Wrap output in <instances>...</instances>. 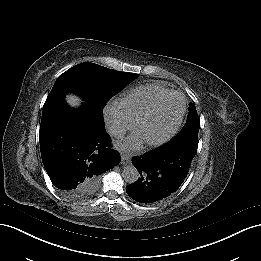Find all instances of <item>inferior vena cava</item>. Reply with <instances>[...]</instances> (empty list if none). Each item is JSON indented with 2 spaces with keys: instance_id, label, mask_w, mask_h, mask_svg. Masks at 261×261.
<instances>
[{
  "instance_id": "inferior-vena-cava-1",
  "label": "inferior vena cava",
  "mask_w": 261,
  "mask_h": 261,
  "mask_svg": "<svg viewBox=\"0 0 261 261\" xmlns=\"http://www.w3.org/2000/svg\"><path fill=\"white\" fill-rule=\"evenodd\" d=\"M105 126L107 133L114 138L121 139L126 134L125 127L117 121L106 120Z\"/></svg>"
}]
</instances>
